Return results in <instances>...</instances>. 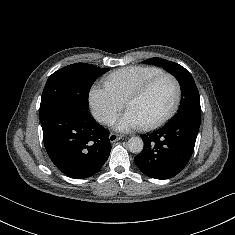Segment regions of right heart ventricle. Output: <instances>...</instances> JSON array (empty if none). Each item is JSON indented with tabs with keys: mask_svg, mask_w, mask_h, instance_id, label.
I'll list each match as a JSON object with an SVG mask.
<instances>
[{
	"mask_svg": "<svg viewBox=\"0 0 235 235\" xmlns=\"http://www.w3.org/2000/svg\"><path fill=\"white\" fill-rule=\"evenodd\" d=\"M163 73L160 68L152 66H130L111 73L107 84L122 100L126 99L150 78Z\"/></svg>",
	"mask_w": 235,
	"mask_h": 235,
	"instance_id": "obj_1",
	"label": "right heart ventricle"
}]
</instances>
